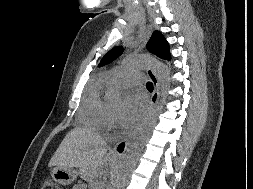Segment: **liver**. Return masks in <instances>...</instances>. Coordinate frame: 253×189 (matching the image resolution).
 I'll list each match as a JSON object with an SVG mask.
<instances>
[{"instance_id": "1", "label": "liver", "mask_w": 253, "mask_h": 189, "mask_svg": "<svg viewBox=\"0 0 253 189\" xmlns=\"http://www.w3.org/2000/svg\"><path fill=\"white\" fill-rule=\"evenodd\" d=\"M111 160L105 141L86 128H73L52 156L49 166L80 168L91 189H98L101 168Z\"/></svg>"}]
</instances>
